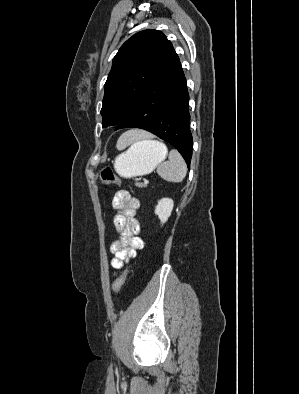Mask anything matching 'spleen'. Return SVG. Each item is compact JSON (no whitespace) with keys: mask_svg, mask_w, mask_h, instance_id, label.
Listing matches in <instances>:
<instances>
[{"mask_svg":"<svg viewBox=\"0 0 299 394\" xmlns=\"http://www.w3.org/2000/svg\"><path fill=\"white\" fill-rule=\"evenodd\" d=\"M125 135L126 133L123 134L118 141L119 148H124L126 145H128V141L126 140ZM143 141L150 142L154 145L162 146L167 150L166 146L158 141H152V140H143ZM139 142L140 141L133 143V145H131L130 148L136 147V145L139 144ZM186 172H187L186 163L183 157L181 156V154L176 149H172L170 151L169 161L161 163L157 168V173L163 179L173 183L181 182L186 176Z\"/></svg>","mask_w":299,"mask_h":394,"instance_id":"3e777b00","label":"spleen"}]
</instances>
